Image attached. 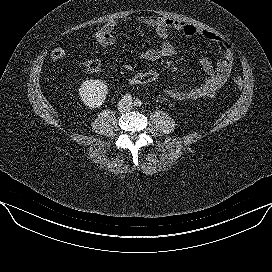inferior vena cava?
<instances>
[{"label":"inferior vena cava","instance_id":"1","mask_svg":"<svg viewBox=\"0 0 272 272\" xmlns=\"http://www.w3.org/2000/svg\"><path fill=\"white\" fill-rule=\"evenodd\" d=\"M131 107H132V104L129 101H120L118 103V108L120 111H129Z\"/></svg>","mask_w":272,"mask_h":272}]
</instances>
